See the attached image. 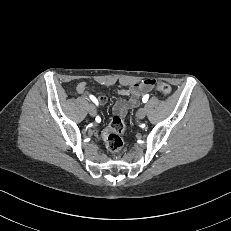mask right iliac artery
<instances>
[{
	"instance_id": "82829eb1",
	"label": "right iliac artery",
	"mask_w": 231,
	"mask_h": 231,
	"mask_svg": "<svg viewBox=\"0 0 231 231\" xmlns=\"http://www.w3.org/2000/svg\"><path fill=\"white\" fill-rule=\"evenodd\" d=\"M90 99L96 104L98 105V101L97 99L94 97V96H90ZM96 121L97 122H100L101 121V118L99 116L96 117Z\"/></svg>"
}]
</instances>
